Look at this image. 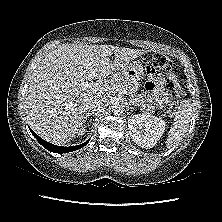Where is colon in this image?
Wrapping results in <instances>:
<instances>
[{"mask_svg":"<svg viewBox=\"0 0 222 222\" xmlns=\"http://www.w3.org/2000/svg\"><path fill=\"white\" fill-rule=\"evenodd\" d=\"M172 69V62L164 54L155 53L152 56L151 64L148 66V71L150 73H159V72H168ZM165 87L168 91L174 93L173 97L171 98L168 104V110L170 115H174L177 110V98H176V85L172 81H166Z\"/></svg>","mask_w":222,"mask_h":222,"instance_id":"colon-1","label":"colon"}]
</instances>
